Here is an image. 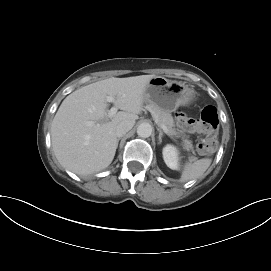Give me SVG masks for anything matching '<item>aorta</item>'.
Listing matches in <instances>:
<instances>
[{
	"label": "aorta",
	"mask_w": 271,
	"mask_h": 271,
	"mask_svg": "<svg viewBox=\"0 0 271 271\" xmlns=\"http://www.w3.org/2000/svg\"><path fill=\"white\" fill-rule=\"evenodd\" d=\"M137 134L141 138H148L152 134V126L149 123H141L137 127Z\"/></svg>",
	"instance_id": "1"
}]
</instances>
